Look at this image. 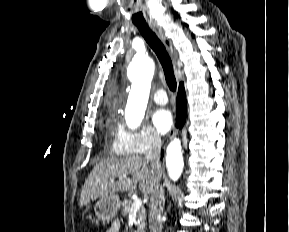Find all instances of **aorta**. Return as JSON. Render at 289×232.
<instances>
[{
  "label": "aorta",
  "instance_id": "obj_1",
  "mask_svg": "<svg viewBox=\"0 0 289 232\" xmlns=\"http://www.w3.org/2000/svg\"><path fill=\"white\" fill-rule=\"evenodd\" d=\"M129 68L131 70L132 87L125 116L129 127L136 128L144 118L154 74V62L147 56H136L130 63ZM166 153V166L169 177L173 181H177L184 167L180 140H173L168 145Z\"/></svg>",
  "mask_w": 289,
  "mask_h": 232
}]
</instances>
